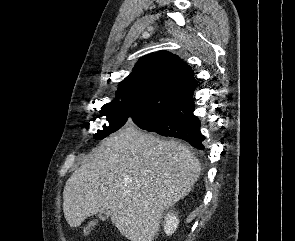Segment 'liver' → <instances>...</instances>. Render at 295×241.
<instances>
[{"instance_id": "1", "label": "liver", "mask_w": 295, "mask_h": 241, "mask_svg": "<svg viewBox=\"0 0 295 241\" xmlns=\"http://www.w3.org/2000/svg\"><path fill=\"white\" fill-rule=\"evenodd\" d=\"M184 144L127 127L106 138L67 180L63 212L71 227L109 211L130 241H153L164 210L183 199L200 175Z\"/></svg>"}]
</instances>
